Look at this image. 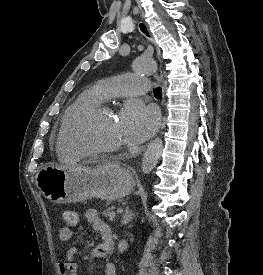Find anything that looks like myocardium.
Here are the masks:
<instances>
[{"label": "myocardium", "mask_w": 263, "mask_h": 275, "mask_svg": "<svg viewBox=\"0 0 263 275\" xmlns=\"http://www.w3.org/2000/svg\"><path fill=\"white\" fill-rule=\"evenodd\" d=\"M105 114H114L112 108L107 105L99 104L92 107L82 113L76 121L73 123L72 127L67 133V140L70 144L84 156H98V155H112L120 152L123 146H114L108 148H98L90 147L83 144L77 137L78 132L87 124L91 123L93 120L101 117Z\"/></svg>", "instance_id": "1"}]
</instances>
